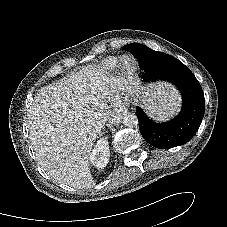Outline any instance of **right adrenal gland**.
<instances>
[{
  "label": "right adrenal gland",
  "mask_w": 227,
  "mask_h": 227,
  "mask_svg": "<svg viewBox=\"0 0 227 227\" xmlns=\"http://www.w3.org/2000/svg\"><path fill=\"white\" fill-rule=\"evenodd\" d=\"M103 134H104V132L100 131V132L98 133V136H99V137H102Z\"/></svg>",
  "instance_id": "right-adrenal-gland-1"
}]
</instances>
